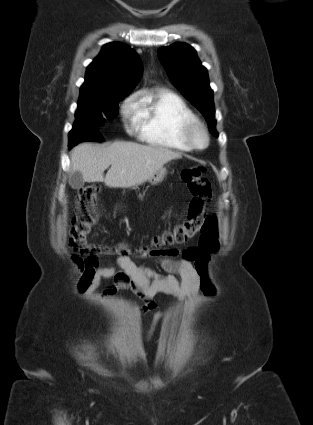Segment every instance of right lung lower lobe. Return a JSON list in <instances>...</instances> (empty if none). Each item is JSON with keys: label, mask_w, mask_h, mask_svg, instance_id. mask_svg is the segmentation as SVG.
I'll return each mask as SVG.
<instances>
[{"label": "right lung lower lobe", "mask_w": 313, "mask_h": 425, "mask_svg": "<svg viewBox=\"0 0 313 425\" xmlns=\"http://www.w3.org/2000/svg\"><path fill=\"white\" fill-rule=\"evenodd\" d=\"M69 138H75L77 140V143L69 144V148L83 141H103L100 134L95 131L94 126L88 123H80L77 127L73 128L69 133Z\"/></svg>", "instance_id": "right-lung-lower-lobe-1"}]
</instances>
